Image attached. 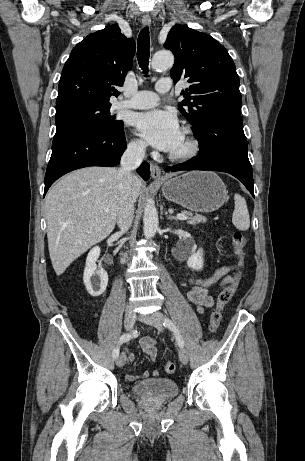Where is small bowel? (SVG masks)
Here are the masks:
<instances>
[{
  "mask_svg": "<svg viewBox=\"0 0 305 461\" xmlns=\"http://www.w3.org/2000/svg\"><path fill=\"white\" fill-rule=\"evenodd\" d=\"M234 269L233 265L221 266L215 269L212 273L207 276L199 279L189 278L186 280L189 289L187 291V297L189 301L197 308V310L202 313L205 309L211 308L214 306V298L210 294L209 289L215 285H225L231 279V271ZM140 346L142 350L155 361L157 358V348L156 340L153 337H143L140 340ZM128 359L130 361L135 360V355L132 352L128 353ZM153 376H158L159 371L154 370L152 372ZM148 376L147 372H143L139 375L141 378ZM128 380H134L133 375L127 376Z\"/></svg>",
  "mask_w": 305,
  "mask_h": 461,
  "instance_id": "obj_1",
  "label": "small bowel"
}]
</instances>
